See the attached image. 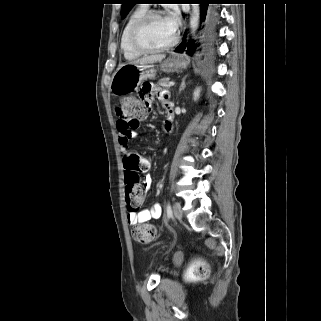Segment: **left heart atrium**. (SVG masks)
<instances>
[{
    "instance_id": "1",
    "label": "left heart atrium",
    "mask_w": 321,
    "mask_h": 321,
    "mask_svg": "<svg viewBox=\"0 0 321 321\" xmlns=\"http://www.w3.org/2000/svg\"><path fill=\"white\" fill-rule=\"evenodd\" d=\"M167 22L169 23V25L176 30L178 23H179V18L177 13H172L170 14L168 17H166Z\"/></svg>"
}]
</instances>
